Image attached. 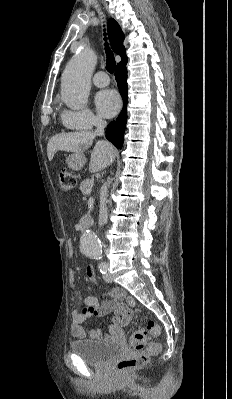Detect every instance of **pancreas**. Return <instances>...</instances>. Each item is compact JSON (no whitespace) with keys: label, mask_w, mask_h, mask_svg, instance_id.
Returning <instances> with one entry per match:
<instances>
[{"label":"pancreas","mask_w":232,"mask_h":399,"mask_svg":"<svg viewBox=\"0 0 232 399\" xmlns=\"http://www.w3.org/2000/svg\"><path fill=\"white\" fill-rule=\"evenodd\" d=\"M93 186V180H83V182H81L80 184V192H82V194H84V192H86V190H91Z\"/></svg>","instance_id":"pancreas-1"}]
</instances>
